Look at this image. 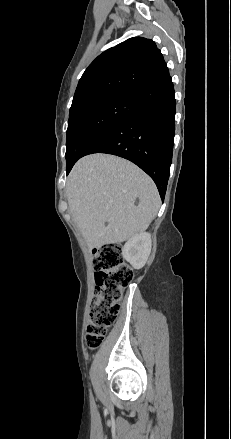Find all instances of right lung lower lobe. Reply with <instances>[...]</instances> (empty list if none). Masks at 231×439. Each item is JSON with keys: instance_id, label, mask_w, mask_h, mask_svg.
I'll list each match as a JSON object with an SVG mask.
<instances>
[{"instance_id": "98d812e1", "label": "right lung lower lobe", "mask_w": 231, "mask_h": 439, "mask_svg": "<svg viewBox=\"0 0 231 439\" xmlns=\"http://www.w3.org/2000/svg\"><path fill=\"white\" fill-rule=\"evenodd\" d=\"M139 106L135 114L124 117L97 133L82 149L74 163L91 153H108L128 159L144 170L165 197L172 162L175 134L174 87L170 75L134 93Z\"/></svg>"}]
</instances>
